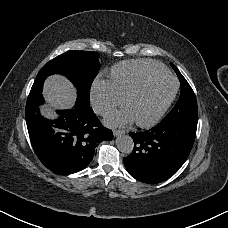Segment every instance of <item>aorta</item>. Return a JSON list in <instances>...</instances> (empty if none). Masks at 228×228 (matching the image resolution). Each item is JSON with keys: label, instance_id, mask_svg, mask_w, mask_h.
Returning a JSON list of instances; mask_svg holds the SVG:
<instances>
[{"label": "aorta", "instance_id": "obj_1", "mask_svg": "<svg viewBox=\"0 0 228 228\" xmlns=\"http://www.w3.org/2000/svg\"><path fill=\"white\" fill-rule=\"evenodd\" d=\"M116 145L120 152L130 154L134 148V141L129 135H120L116 139Z\"/></svg>", "mask_w": 228, "mask_h": 228}]
</instances>
